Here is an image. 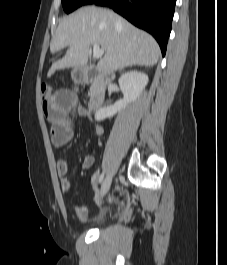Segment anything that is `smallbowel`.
I'll return each instance as SVG.
<instances>
[{"label": "small bowel", "instance_id": "small-bowel-1", "mask_svg": "<svg viewBox=\"0 0 227 265\" xmlns=\"http://www.w3.org/2000/svg\"><path fill=\"white\" fill-rule=\"evenodd\" d=\"M76 91H56V96L51 102H42V107L47 120L51 124V141L55 147H61L72 140L74 136L73 124L69 118V111L73 108L79 116L90 119V113L84 104H80V99ZM95 133L101 136L104 132L100 124H94ZM94 157L87 155L83 160V168L88 169L94 164ZM57 175L59 178L61 189L64 193H69L71 183L68 178V164L65 160H59L56 165ZM98 174H94L92 182L96 188ZM75 213L81 220L88 218V210L83 205L75 207Z\"/></svg>", "mask_w": 227, "mask_h": 265}]
</instances>
